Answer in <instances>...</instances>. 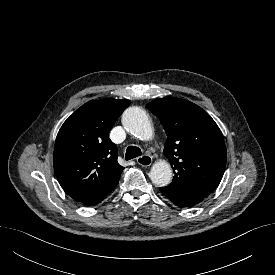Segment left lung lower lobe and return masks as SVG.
<instances>
[{"instance_id":"1","label":"left lung lower lobe","mask_w":275,"mask_h":275,"mask_svg":"<svg viewBox=\"0 0 275 275\" xmlns=\"http://www.w3.org/2000/svg\"><path fill=\"white\" fill-rule=\"evenodd\" d=\"M160 191L179 207H190L201 202L207 195L197 190L170 191L165 187Z\"/></svg>"}]
</instances>
